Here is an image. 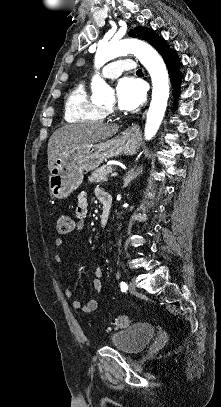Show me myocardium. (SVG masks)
Masks as SVG:
<instances>
[{
    "mask_svg": "<svg viewBox=\"0 0 221 407\" xmlns=\"http://www.w3.org/2000/svg\"><path fill=\"white\" fill-rule=\"evenodd\" d=\"M104 108L107 111V113H112L115 110L114 106L112 107L105 106Z\"/></svg>",
    "mask_w": 221,
    "mask_h": 407,
    "instance_id": "f54148a6",
    "label": "myocardium"
}]
</instances>
